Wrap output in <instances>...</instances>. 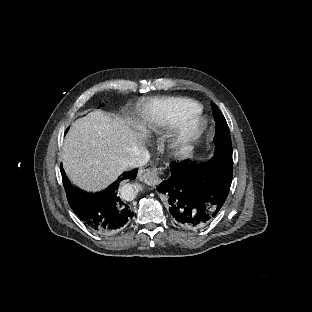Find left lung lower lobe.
<instances>
[{
    "label": "left lung lower lobe",
    "mask_w": 312,
    "mask_h": 312,
    "mask_svg": "<svg viewBox=\"0 0 312 312\" xmlns=\"http://www.w3.org/2000/svg\"><path fill=\"white\" fill-rule=\"evenodd\" d=\"M232 152L218 151L200 164H170L171 176L158 190L168 198L169 218L177 226L201 229L222 208L232 183Z\"/></svg>",
    "instance_id": "0a47b994"
}]
</instances>
